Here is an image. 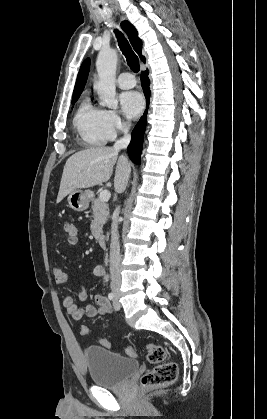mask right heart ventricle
<instances>
[{"instance_id": "e07e8e85", "label": "right heart ventricle", "mask_w": 267, "mask_h": 419, "mask_svg": "<svg viewBox=\"0 0 267 419\" xmlns=\"http://www.w3.org/2000/svg\"><path fill=\"white\" fill-rule=\"evenodd\" d=\"M73 124L81 140L89 146H102L108 140L103 128V110L84 97L75 112Z\"/></svg>"}]
</instances>
